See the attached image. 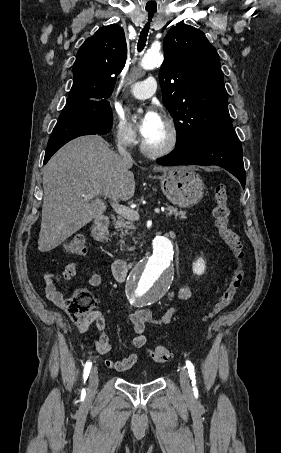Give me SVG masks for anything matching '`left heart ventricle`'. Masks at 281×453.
<instances>
[{
    "label": "left heart ventricle",
    "instance_id": "b2bd125f",
    "mask_svg": "<svg viewBox=\"0 0 281 453\" xmlns=\"http://www.w3.org/2000/svg\"><path fill=\"white\" fill-rule=\"evenodd\" d=\"M147 144L152 148H161L169 142V133L162 122L145 137Z\"/></svg>",
    "mask_w": 281,
    "mask_h": 453
}]
</instances>
